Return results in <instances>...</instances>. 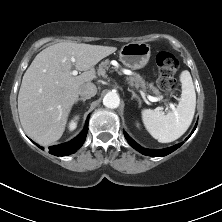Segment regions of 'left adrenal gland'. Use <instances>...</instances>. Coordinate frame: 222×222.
I'll list each match as a JSON object with an SVG mask.
<instances>
[{
	"label": "left adrenal gland",
	"mask_w": 222,
	"mask_h": 222,
	"mask_svg": "<svg viewBox=\"0 0 222 222\" xmlns=\"http://www.w3.org/2000/svg\"><path fill=\"white\" fill-rule=\"evenodd\" d=\"M128 91L132 93L131 99H134V98H135V99L138 100L139 104H141V99H140V97H139L133 90H131V89H129V88H128Z\"/></svg>",
	"instance_id": "a2214340"
}]
</instances>
